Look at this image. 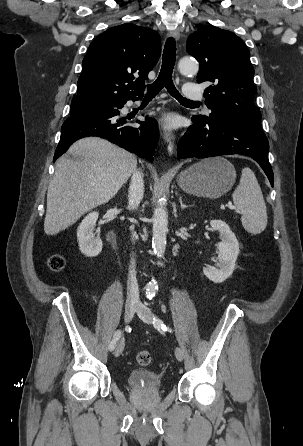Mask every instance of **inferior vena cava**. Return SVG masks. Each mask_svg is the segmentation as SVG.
Wrapping results in <instances>:
<instances>
[{"label": "inferior vena cava", "mask_w": 303, "mask_h": 446, "mask_svg": "<svg viewBox=\"0 0 303 446\" xmlns=\"http://www.w3.org/2000/svg\"><path fill=\"white\" fill-rule=\"evenodd\" d=\"M144 194V182L143 175L140 171H134L128 195V208L129 210L137 209ZM137 239L136 234H132V241ZM127 301L138 302L139 301V289L136 279L135 260L131 259V265L129 266V274L127 281Z\"/></svg>", "instance_id": "602c4592"}]
</instances>
